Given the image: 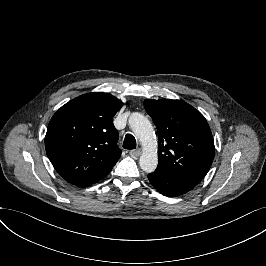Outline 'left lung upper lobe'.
Listing matches in <instances>:
<instances>
[{"label":"left lung upper lobe","instance_id":"1","mask_svg":"<svg viewBox=\"0 0 266 266\" xmlns=\"http://www.w3.org/2000/svg\"><path fill=\"white\" fill-rule=\"evenodd\" d=\"M158 131L157 171L196 186L213 162L215 147L204 116L181 100H144Z\"/></svg>","mask_w":266,"mask_h":266}]
</instances>
